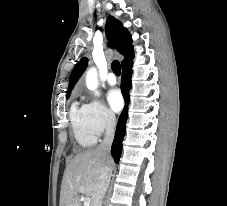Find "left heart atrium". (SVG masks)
Listing matches in <instances>:
<instances>
[{"instance_id":"left-heart-atrium-1","label":"left heart atrium","mask_w":227,"mask_h":206,"mask_svg":"<svg viewBox=\"0 0 227 206\" xmlns=\"http://www.w3.org/2000/svg\"><path fill=\"white\" fill-rule=\"evenodd\" d=\"M107 101L114 112H119L124 104L122 94L118 89H112L108 92Z\"/></svg>"}]
</instances>
